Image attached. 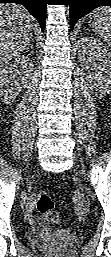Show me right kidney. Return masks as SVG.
<instances>
[{
    "mask_svg": "<svg viewBox=\"0 0 111 257\" xmlns=\"http://www.w3.org/2000/svg\"><path fill=\"white\" fill-rule=\"evenodd\" d=\"M33 62L29 57L18 56L10 64L3 67L0 73V92L5 102L13 99L26 87L32 76Z\"/></svg>",
    "mask_w": 111,
    "mask_h": 257,
    "instance_id": "right-kidney-1",
    "label": "right kidney"
}]
</instances>
